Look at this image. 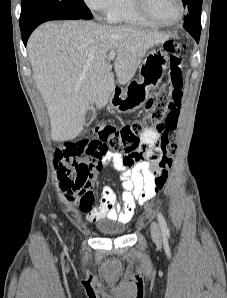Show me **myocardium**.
Masks as SVG:
<instances>
[{"label":"myocardium","instance_id":"myocardium-1","mask_svg":"<svg viewBox=\"0 0 227 298\" xmlns=\"http://www.w3.org/2000/svg\"><path fill=\"white\" fill-rule=\"evenodd\" d=\"M177 2L179 5V14L174 20L170 22L160 21L152 15L149 9L148 0H134V6L139 15L147 21L151 22L152 24L156 26L169 27L177 24L183 18L184 15L185 8L183 0H177Z\"/></svg>","mask_w":227,"mask_h":298}]
</instances>
